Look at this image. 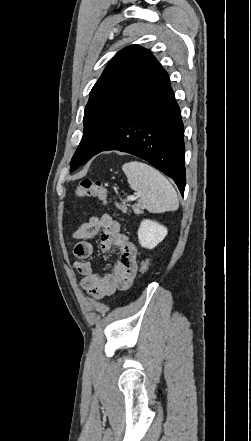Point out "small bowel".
Segmentation results:
<instances>
[{"label":"small bowel","instance_id":"1","mask_svg":"<svg viewBox=\"0 0 251 441\" xmlns=\"http://www.w3.org/2000/svg\"><path fill=\"white\" fill-rule=\"evenodd\" d=\"M100 232L101 250L109 252L115 248L119 253L113 270L109 273L97 272L89 260L94 252L90 240ZM72 237L77 240L74 246V255L77 258L74 267L83 276L81 287L92 297L104 298L131 285L137 272V249L128 236L122 233L119 222L111 215L91 217L73 232Z\"/></svg>","mask_w":251,"mask_h":441}]
</instances>
